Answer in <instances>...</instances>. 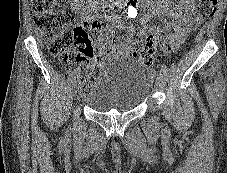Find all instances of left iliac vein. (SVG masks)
<instances>
[{"mask_svg":"<svg viewBox=\"0 0 227 173\" xmlns=\"http://www.w3.org/2000/svg\"><path fill=\"white\" fill-rule=\"evenodd\" d=\"M147 82H148L149 87L152 88L153 84H154V78L150 74L147 76Z\"/></svg>","mask_w":227,"mask_h":173,"instance_id":"left-iliac-vein-1","label":"left iliac vein"}]
</instances>
